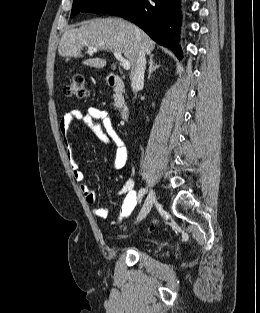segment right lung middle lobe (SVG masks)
<instances>
[{
  "mask_svg": "<svg viewBox=\"0 0 260 313\" xmlns=\"http://www.w3.org/2000/svg\"><path fill=\"white\" fill-rule=\"evenodd\" d=\"M127 0H74L71 17L80 12L109 13Z\"/></svg>",
  "mask_w": 260,
  "mask_h": 313,
  "instance_id": "1",
  "label": "right lung middle lobe"
}]
</instances>
